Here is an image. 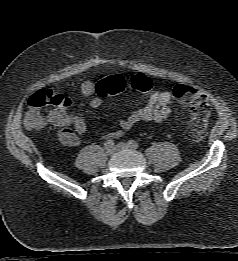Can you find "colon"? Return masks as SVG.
Masks as SVG:
<instances>
[{"instance_id":"5ec220e1","label":"colon","mask_w":238,"mask_h":261,"mask_svg":"<svg viewBox=\"0 0 238 261\" xmlns=\"http://www.w3.org/2000/svg\"><path fill=\"white\" fill-rule=\"evenodd\" d=\"M96 88L97 93L105 97L122 93L127 89L146 93L152 89V82L143 74H137L128 79L115 75L99 81ZM173 96L190 109L188 138L193 142L202 141L211 114V105L206 95L195 87L178 84L173 88ZM69 104L70 100L66 96L52 90L37 91L28 100L25 123L30 129L40 128L45 123L44 111L47 108H64Z\"/></svg>"}]
</instances>
